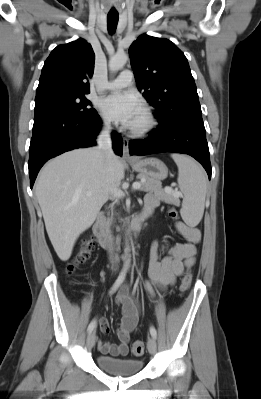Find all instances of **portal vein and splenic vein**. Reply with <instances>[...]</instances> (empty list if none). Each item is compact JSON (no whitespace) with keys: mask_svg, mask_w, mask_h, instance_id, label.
Segmentation results:
<instances>
[{"mask_svg":"<svg viewBox=\"0 0 261 399\" xmlns=\"http://www.w3.org/2000/svg\"><path fill=\"white\" fill-rule=\"evenodd\" d=\"M145 180H143L142 182H144ZM132 188L134 189V190H137V189H140L141 188V183L140 182H134L133 184H132ZM166 191L167 192H172L174 195H176V196H180L181 195V193L179 192V191H177V190H172L171 188H168V189H166ZM112 194H113V196L114 197H117V198H121V197H123L125 194H124V192L122 191V190H120V189H115L113 192H112Z\"/></svg>","mask_w":261,"mask_h":399,"instance_id":"18ae733b","label":"portal vein and splenic vein"}]
</instances>
